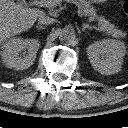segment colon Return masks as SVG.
Returning a JSON list of instances; mask_svg holds the SVG:
<instances>
[{
  "label": "colon",
  "mask_w": 128,
  "mask_h": 128,
  "mask_svg": "<svg viewBox=\"0 0 128 128\" xmlns=\"http://www.w3.org/2000/svg\"><path fill=\"white\" fill-rule=\"evenodd\" d=\"M123 11H124V13L126 14V16L128 17V0H126V1L123 3Z\"/></svg>",
  "instance_id": "colon-1"
}]
</instances>
